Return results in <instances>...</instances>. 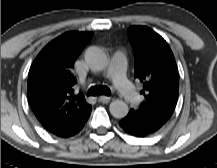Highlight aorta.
I'll return each mask as SVG.
<instances>
[{
  "label": "aorta",
  "mask_w": 217,
  "mask_h": 168,
  "mask_svg": "<svg viewBox=\"0 0 217 168\" xmlns=\"http://www.w3.org/2000/svg\"><path fill=\"white\" fill-rule=\"evenodd\" d=\"M85 62L90 69L101 71L108 65L106 53L99 47L92 46L85 52ZM110 113L115 118H124L129 111L128 105L119 99L113 100L109 106Z\"/></svg>",
  "instance_id": "aorta-1"
}]
</instances>
